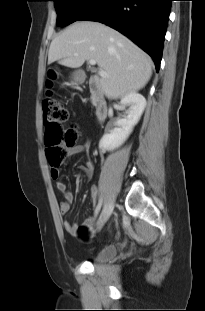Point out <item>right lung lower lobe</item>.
<instances>
[{
    "instance_id": "right-lung-lower-lobe-1",
    "label": "right lung lower lobe",
    "mask_w": 205,
    "mask_h": 311,
    "mask_svg": "<svg viewBox=\"0 0 205 311\" xmlns=\"http://www.w3.org/2000/svg\"><path fill=\"white\" fill-rule=\"evenodd\" d=\"M172 0H99L78 21L104 23L130 38L159 70Z\"/></svg>"
}]
</instances>
